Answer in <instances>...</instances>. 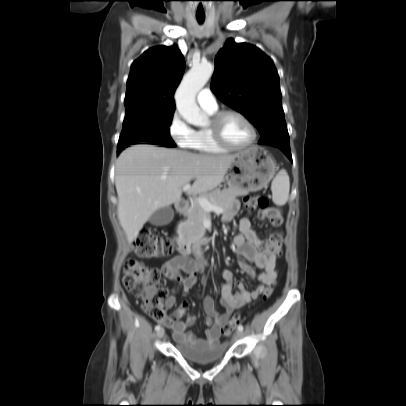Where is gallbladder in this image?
<instances>
[{"instance_id": "obj_1", "label": "gallbladder", "mask_w": 406, "mask_h": 406, "mask_svg": "<svg viewBox=\"0 0 406 406\" xmlns=\"http://www.w3.org/2000/svg\"><path fill=\"white\" fill-rule=\"evenodd\" d=\"M174 217V211L171 206H165L155 211L149 222L155 226H164L169 224Z\"/></svg>"}]
</instances>
